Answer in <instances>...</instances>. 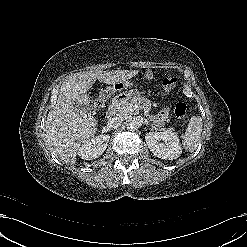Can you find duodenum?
Here are the masks:
<instances>
[{"label":"duodenum","instance_id":"duodenum-1","mask_svg":"<svg viewBox=\"0 0 247 247\" xmlns=\"http://www.w3.org/2000/svg\"><path fill=\"white\" fill-rule=\"evenodd\" d=\"M112 110H113L112 108H109V110H108V114H109Z\"/></svg>","mask_w":247,"mask_h":247}]
</instances>
